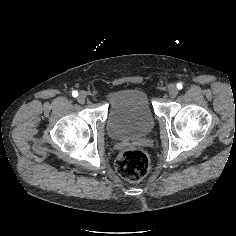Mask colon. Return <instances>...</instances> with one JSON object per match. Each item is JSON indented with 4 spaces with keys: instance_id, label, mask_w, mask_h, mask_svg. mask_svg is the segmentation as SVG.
<instances>
[{
    "instance_id": "colon-1",
    "label": "colon",
    "mask_w": 236,
    "mask_h": 236,
    "mask_svg": "<svg viewBox=\"0 0 236 236\" xmlns=\"http://www.w3.org/2000/svg\"><path fill=\"white\" fill-rule=\"evenodd\" d=\"M115 168L122 178L136 182L148 174L150 162L148 156L143 151L128 149L118 156Z\"/></svg>"
}]
</instances>
